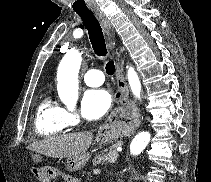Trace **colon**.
Returning a JSON list of instances; mask_svg holds the SVG:
<instances>
[{"instance_id": "5ec220e1", "label": "colon", "mask_w": 211, "mask_h": 182, "mask_svg": "<svg viewBox=\"0 0 211 182\" xmlns=\"http://www.w3.org/2000/svg\"><path fill=\"white\" fill-rule=\"evenodd\" d=\"M34 175L37 179L45 181V182H51L53 179H56L58 177L66 178L67 175L62 174L58 170H55L53 168H40V169H33Z\"/></svg>"}]
</instances>
